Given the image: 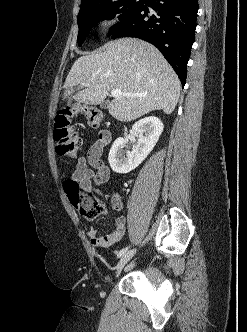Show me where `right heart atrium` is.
<instances>
[{
    "instance_id": "right-heart-atrium-1",
    "label": "right heart atrium",
    "mask_w": 247,
    "mask_h": 332,
    "mask_svg": "<svg viewBox=\"0 0 247 332\" xmlns=\"http://www.w3.org/2000/svg\"><path fill=\"white\" fill-rule=\"evenodd\" d=\"M119 24V18L116 15H107L101 21V26L104 29H112Z\"/></svg>"
}]
</instances>
